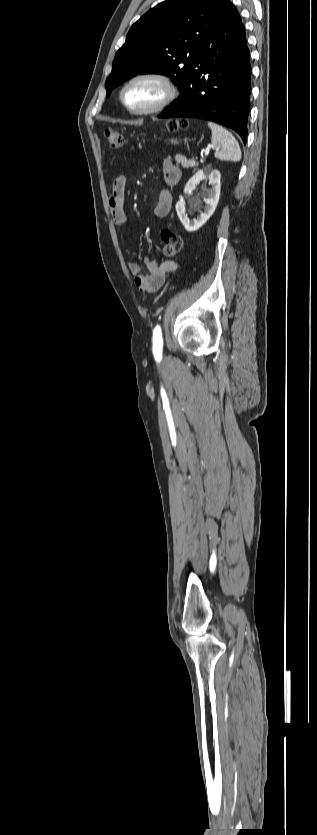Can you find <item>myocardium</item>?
<instances>
[{
    "label": "myocardium",
    "mask_w": 317,
    "mask_h": 835,
    "mask_svg": "<svg viewBox=\"0 0 317 835\" xmlns=\"http://www.w3.org/2000/svg\"><path fill=\"white\" fill-rule=\"evenodd\" d=\"M139 81H150L155 83L161 90V96L151 106L144 109H135L127 104L124 98L125 91L134 83ZM178 90L175 83L168 76L156 72L139 73L129 78L119 91V100L123 107L131 114L139 116L153 115L161 112L169 106L177 97Z\"/></svg>",
    "instance_id": "1"
}]
</instances>
